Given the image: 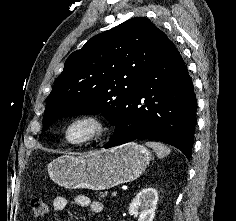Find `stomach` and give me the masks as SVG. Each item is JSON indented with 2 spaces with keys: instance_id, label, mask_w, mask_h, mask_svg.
<instances>
[{
  "instance_id": "obj_1",
  "label": "stomach",
  "mask_w": 236,
  "mask_h": 221,
  "mask_svg": "<svg viewBox=\"0 0 236 221\" xmlns=\"http://www.w3.org/2000/svg\"><path fill=\"white\" fill-rule=\"evenodd\" d=\"M150 160L146 147L129 142L82 156H61L48 164V173L66 189L104 190L137 179Z\"/></svg>"
}]
</instances>
